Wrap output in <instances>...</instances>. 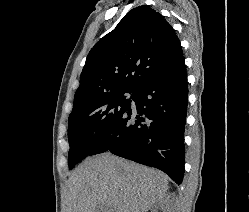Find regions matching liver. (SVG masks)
<instances>
[{
    "label": "liver",
    "instance_id": "liver-1",
    "mask_svg": "<svg viewBox=\"0 0 249 212\" xmlns=\"http://www.w3.org/2000/svg\"><path fill=\"white\" fill-rule=\"evenodd\" d=\"M168 180L108 152L86 158L69 176L66 212H148L166 196Z\"/></svg>",
    "mask_w": 249,
    "mask_h": 212
}]
</instances>
